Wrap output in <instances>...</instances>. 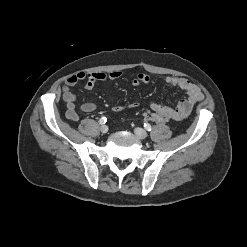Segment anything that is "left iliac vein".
I'll return each instance as SVG.
<instances>
[{"instance_id": "1", "label": "left iliac vein", "mask_w": 247, "mask_h": 247, "mask_svg": "<svg viewBox=\"0 0 247 247\" xmlns=\"http://www.w3.org/2000/svg\"><path fill=\"white\" fill-rule=\"evenodd\" d=\"M134 133L140 139H145L148 136L147 132L144 129L139 128V127L134 129Z\"/></svg>"}]
</instances>
